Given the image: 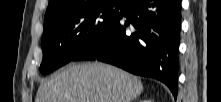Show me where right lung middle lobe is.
Instances as JSON below:
<instances>
[{
    "label": "right lung middle lobe",
    "mask_w": 221,
    "mask_h": 102,
    "mask_svg": "<svg viewBox=\"0 0 221 102\" xmlns=\"http://www.w3.org/2000/svg\"><path fill=\"white\" fill-rule=\"evenodd\" d=\"M123 0L72 2L44 21L42 73L73 61L84 48L102 36L118 19Z\"/></svg>",
    "instance_id": "1"
}]
</instances>
